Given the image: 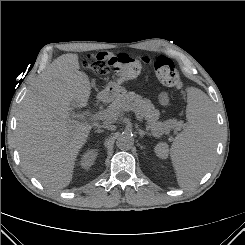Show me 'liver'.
<instances>
[{
	"label": "liver",
	"instance_id": "6515ba94",
	"mask_svg": "<svg viewBox=\"0 0 245 245\" xmlns=\"http://www.w3.org/2000/svg\"><path fill=\"white\" fill-rule=\"evenodd\" d=\"M78 55L55 59L21 103L16 142L23 167L43 186L62 189L73 176L76 158L92 126L70 119L72 103L85 107L91 93Z\"/></svg>",
	"mask_w": 245,
	"mask_h": 245
}]
</instances>
